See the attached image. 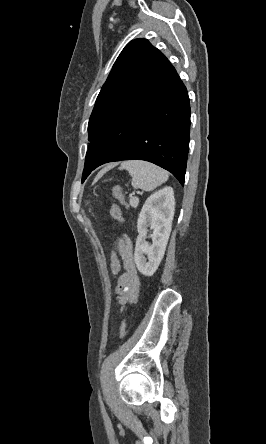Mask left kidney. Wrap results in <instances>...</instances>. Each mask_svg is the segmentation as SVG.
<instances>
[{
    "label": "left kidney",
    "instance_id": "5707ae66",
    "mask_svg": "<svg viewBox=\"0 0 266 444\" xmlns=\"http://www.w3.org/2000/svg\"><path fill=\"white\" fill-rule=\"evenodd\" d=\"M175 210L174 191L164 187L147 198L137 222L138 237L134 260L138 270L144 276H152L164 256ZM148 227L153 230L150 235L152 245L146 241ZM147 255V259L145 258Z\"/></svg>",
    "mask_w": 266,
    "mask_h": 444
}]
</instances>
